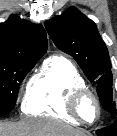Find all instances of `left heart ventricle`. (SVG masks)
Instances as JSON below:
<instances>
[{
    "instance_id": "obj_1",
    "label": "left heart ventricle",
    "mask_w": 117,
    "mask_h": 136,
    "mask_svg": "<svg viewBox=\"0 0 117 136\" xmlns=\"http://www.w3.org/2000/svg\"><path fill=\"white\" fill-rule=\"evenodd\" d=\"M81 112L85 119L91 121L96 116V107L91 99H86L81 105Z\"/></svg>"
}]
</instances>
